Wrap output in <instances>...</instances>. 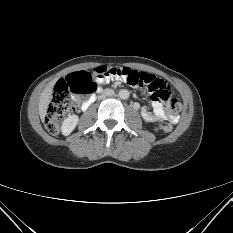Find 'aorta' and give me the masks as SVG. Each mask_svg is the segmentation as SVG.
I'll list each match as a JSON object with an SVG mask.
<instances>
[{
	"mask_svg": "<svg viewBox=\"0 0 233 233\" xmlns=\"http://www.w3.org/2000/svg\"><path fill=\"white\" fill-rule=\"evenodd\" d=\"M129 95H130V93H129V91L128 90H126V89H122V90H120L119 91V97L121 98V99H128L129 98Z\"/></svg>",
	"mask_w": 233,
	"mask_h": 233,
	"instance_id": "1",
	"label": "aorta"
}]
</instances>
